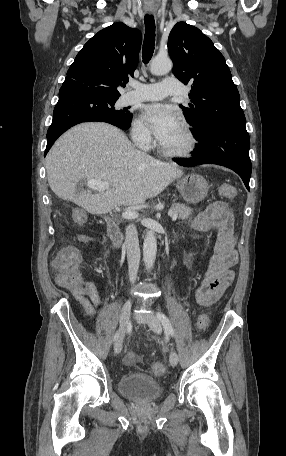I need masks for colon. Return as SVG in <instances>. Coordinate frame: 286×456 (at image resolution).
Returning <instances> with one entry per match:
<instances>
[{"label": "colon", "mask_w": 286, "mask_h": 456, "mask_svg": "<svg viewBox=\"0 0 286 456\" xmlns=\"http://www.w3.org/2000/svg\"><path fill=\"white\" fill-rule=\"evenodd\" d=\"M220 194L225 197H234L236 195V188L232 185L223 184L219 187ZM77 223H83L84 218L82 215H76ZM81 255L74 246H66L62 248L56 255L53 261V266L57 271L56 281L64 288L71 291L81 290L86 282L80 270ZM209 325V317L207 314H202L198 317L196 327L199 330H205ZM138 358L135 355H127L125 363L128 365H135ZM152 371L155 376H162L165 373V366L161 362H154Z\"/></svg>", "instance_id": "5ec220e1"}]
</instances>
